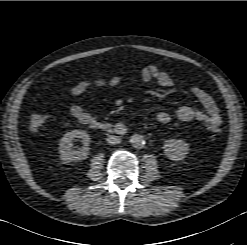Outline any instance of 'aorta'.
<instances>
[{
	"label": "aorta",
	"instance_id": "obj_1",
	"mask_svg": "<svg viewBox=\"0 0 247 245\" xmlns=\"http://www.w3.org/2000/svg\"><path fill=\"white\" fill-rule=\"evenodd\" d=\"M130 142H131L133 147L138 148V149L143 148V146L145 144L144 137L140 134L132 135Z\"/></svg>",
	"mask_w": 247,
	"mask_h": 245
}]
</instances>
